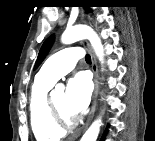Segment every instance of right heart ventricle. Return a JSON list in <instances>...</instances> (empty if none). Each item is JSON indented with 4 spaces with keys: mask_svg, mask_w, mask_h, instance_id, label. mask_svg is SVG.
<instances>
[{
    "mask_svg": "<svg viewBox=\"0 0 155 141\" xmlns=\"http://www.w3.org/2000/svg\"><path fill=\"white\" fill-rule=\"evenodd\" d=\"M54 82L36 78L29 97V114L33 134L38 141H58L64 131L56 128L48 116L47 96Z\"/></svg>",
    "mask_w": 155,
    "mask_h": 141,
    "instance_id": "obj_1",
    "label": "right heart ventricle"
}]
</instances>
